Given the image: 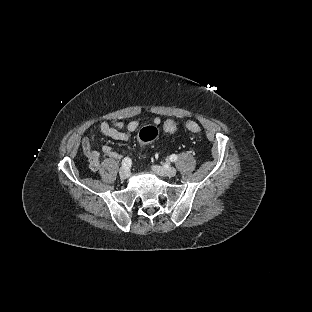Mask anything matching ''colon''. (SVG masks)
Listing matches in <instances>:
<instances>
[{
	"instance_id": "5ec220e1",
	"label": "colon",
	"mask_w": 312,
	"mask_h": 312,
	"mask_svg": "<svg viewBox=\"0 0 312 312\" xmlns=\"http://www.w3.org/2000/svg\"><path fill=\"white\" fill-rule=\"evenodd\" d=\"M187 128L190 132L196 133L199 131L200 126L198 123L191 121L188 123ZM165 129L167 132L172 133L176 129V124L174 121L169 120L165 124ZM158 135L157 128L155 126H147L142 128L136 135L138 141L142 143H149L154 141Z\"/></svg>"
}]
</instances>
